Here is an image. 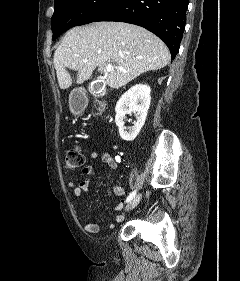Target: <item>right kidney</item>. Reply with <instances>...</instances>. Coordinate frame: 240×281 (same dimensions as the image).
I'll use <instances>...</instances> for the list:
<instances>
[{"mask_svg": "<svg viewBox=\"0 0 240 281\" xmlns=\"http://www.w3.org/2000/svg\"><path fill=\"white\" fill-rule=\"evenodd\" d=\"M150 92L148 85L137 84L126 91L117 102L115 123L123 140L133 141L143 127L150 107ZM131 113L135 114L136 121L132 127L126 128L124 119Z\"/></svg>", "mask_w": 240, "mask_h": 281, "instance_id": "ca27d5eb", "label": "right kidney"}]
</instances>
